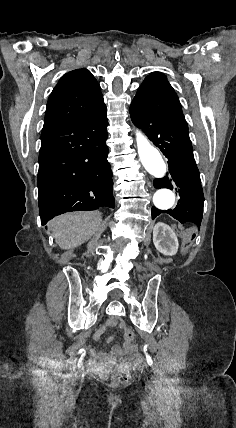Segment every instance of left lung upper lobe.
I'll return each mask as SVG.
<instances>
[{
	"label": "left lung upper lobe",
	"mask_w": 236,
	"mask_h": 428,
	"mask_svg": "<svg viewBox=\"0 0 236 428\" xmlns=\"http://www.w3.org/2000/svg\"><path fill=\"white\" fill-rule=\"evenodd\" d=\"M153 114L173 115L184 118L179 99L160 72L148 75L139 87L131 106Z\"/></svg>",
	"instance_id": "5c2ea615"
}]
</instances>
